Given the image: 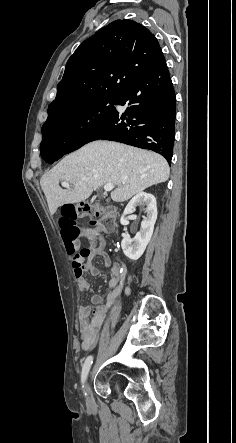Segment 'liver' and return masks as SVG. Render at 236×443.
Returning <instances> with one entry per match:
<instances>
[{"mask_svg":"<svg viewBox=\"0 0 236 443\" xmlns=\"http://www.w3.org/2000/svg\"><path fill=\"white\" fill-rule=\"evenodd\" d=\"M169 165L161 155L111 141H94L67 155L40 179L50 214L63 204L79 203L93 190L112 183L111 199L124 202L169 178ZM60 181L72 189L63 190Z\"/></svg>","mask_w":236,"mask_h":443,"instance_id":"obj_1","label":"liver"}]
</instances>
